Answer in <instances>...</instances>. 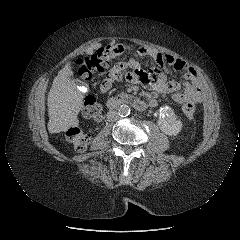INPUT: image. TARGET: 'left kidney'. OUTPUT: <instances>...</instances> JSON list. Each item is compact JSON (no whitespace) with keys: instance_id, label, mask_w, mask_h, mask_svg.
Returning a JSON list of instances; mask_svg holds the SVG:
<instances>
[{"instance_id":"left-kidney-1","label":"left kidney","mask_w":240,"mask_h":240,"mask_svg":"<svg viewBox=\"0 0 240 240\" xmlns=\"http://www.w3.org/2000/svg\"><path fill=\"white\" fill-rule=\"evenodd\" d=\"M157 124L162 132L169 136L177 135L182 128V122L169 106L160 108Z\"/></svg>"}]
</instances>
